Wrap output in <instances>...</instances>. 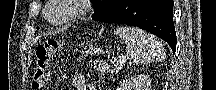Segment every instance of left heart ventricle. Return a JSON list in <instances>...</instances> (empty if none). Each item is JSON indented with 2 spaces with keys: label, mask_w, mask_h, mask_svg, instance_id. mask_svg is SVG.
<instances>
[{
  "label": "left heart ventricle",
  "mask_w": 216,
  "mask_h": 90,
  "mask_svg": "<svg viewBox=\"0 0 216 90\" xmlns=\"http://www.w3.org/2000/svg\"><path fill=\"white\" fill-rule=\"evenodd\" d=\"M66 14H67V11L62 8L55 13V17L57 19H62Z\"/></svg>",
  "instance_id": "left-heart-ventricle-1"
}]
</instances>
